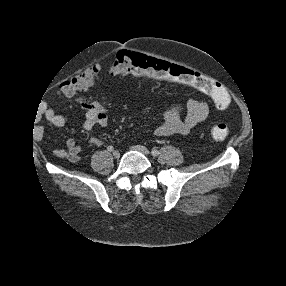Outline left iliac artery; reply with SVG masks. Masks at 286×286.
Returning a JSON list of instances; mask_svg holds the SVG:
<instances>
[{
  "label": "left iliac artery",
  "mask_w": 286,
  "mask_h": 286,
  "mask_svg": "<svg viewBox=\"0 0 286 286\" xmlns=\"http://www.w3.org/2000/svg\"><path fill=\"white\" fill-rule=\"evenodd\" d=\"M151 154L153 156H158L159 155V151L157 149H152Z\"/></svg>",
  "instance_id": "left-iliac-artery-1"
}]
</instances>
